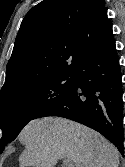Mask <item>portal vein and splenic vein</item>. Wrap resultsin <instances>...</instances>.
I'll return each mask as SVG.
<instances>
[{
  "label": "portal vein and splenic vein",
  "mask_w": 125,
  "mask_h": 167,
  "mask_svg": "<svg viewBox=\"0 0 125 167\" xmlns=\"http://www.w3.org/2000/svg\"><path fill=\"white\" fill-rule=\"evenodd\" d=\"M64 164H66L68 167H73V164L70 162L69 159H64Z\"/></svg>",
  "instance_id": "18ae733b"
}]
</instances>
